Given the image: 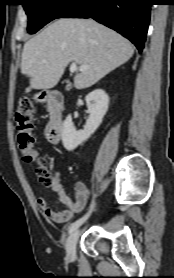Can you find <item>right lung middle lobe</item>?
<instances>
[{"mask_svg":"<svg viewBox=\"0 0 174 278\" xmlns=\"http://www.w3.org/2000/svg\"><path fill=\"white\" fill-rule=\"evenodd\" d=\"M78 0H23L29 18L28 32L34 34L48 22L60 18Z\"/></svg>","mask_w":174,"mask_h":278,"instance_id":"1","label":"right lung middle lobe"}]
</instances>
